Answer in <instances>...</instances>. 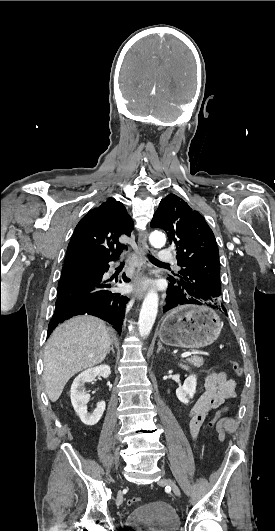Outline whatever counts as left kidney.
Masks as SVG:
<instances>
[{
  "label": "left kidney",
  "mask_w": 275,
  "mask_h": 531,
  "mask_svg": "<svg viewBox=\"0 0 275 531\" xmlns=\"http://www.w3.org/2000/svg\"><path fill=\"white\" fill-rule=\"evenodd\" d=\"M180 367L188 371V367H184V365H180ZM196 385V375H190V377L185 379L182 387H178V389H176V395L181 403H185L186 405V403H189V399H193L196 393Z\"/></svg>",
  "instance_id": "1"
}]
</instances>
